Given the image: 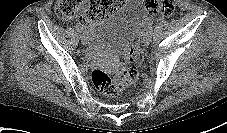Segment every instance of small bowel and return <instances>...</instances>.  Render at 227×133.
I'll return each instance as SVG.
<instances>
[{"mask_svg": "<svg viewBox=\"0 0 227 133\" xmlns=\"http://www.w3.org/2000/svg\"><path fill=\"white\" fill-rule=\"evenodd\" d=\"M82 26H83V29L86 31V33L91 34V32H92L91 25H86V24L82 23Z\"/></svg>", "mask_w": 227, "mask_h": 133, "instance_id": "c3829d8e", "label": "small bowel"}]
</instances>
